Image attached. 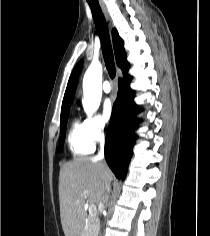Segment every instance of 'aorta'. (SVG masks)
<instances>
[{
    "instance_id": "762f6f07",
    "label": "aorta",
    "mask_w": 210,
    "mask_h": 236,
    "mask_svg": "<svg viewBox=\"0 0 210 236\" xmlns=\"http://www.w3.org/2000/svg\"><path fill=\"white\" fill-rule=\"evenodd\" d=\"M102 65L93 60L83 78V108L91 116L98 109L102 97Z\"/></svg>"
}]
</instances>
